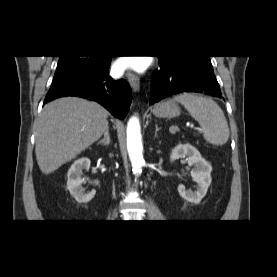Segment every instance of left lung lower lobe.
Here are the masks:
<instances>
[{"instance_id":"0a47b994","label":"left lung lower lobe","mask_w":277,"mask_h":277,"mask_svg":"<svg viewBox=\"0 0 277 277\" xmlns=\"http://www.w3.org/2000/svg\"><path fill=\"white\" fill-rule=\"evenodd\" d=\"M151 79L150 105L180 92H198L222 98L211 61L170 57L159 59Z\"/></svg>"}]
</instances>
